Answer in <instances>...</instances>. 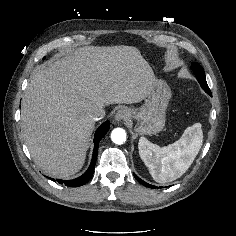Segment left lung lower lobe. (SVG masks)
<instances>
[{
  "label": "left lung lower lobe",
  "instance_id": "obj_1",
  "mask_svg": "<svg viewBox=\"0 0 236 236\" xmlns=\"http://www.w3.org/2000/svg\"><path fill=\"white\" fill-rule=\"evenodd\" d=\"M133 174H134V173H133ZM134 177H135L141 184H143L144 186L149 187V188H156V186H153V185H151V184H148V183L144 182V181L141 180L139 177H137L135 174H134Z\"/></svg>",
  "mask_w": 236,
  "mask_h": 236
}]
</instances>
